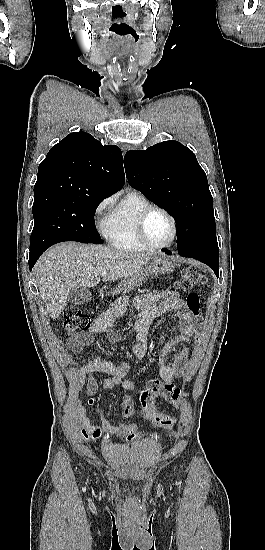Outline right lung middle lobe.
I'll use <instances>...</instances> for the list:
<instances>
[{
	"mask_svg": "<svg viewBox=\"0 0 265 550\" xmlns=\"http://www.w3.org/2000/svg\"><path fill=\"white\" fill-rule=\"evenodd\" d=\"M104 198H71L50 194L34 196L30 253L45 251L63 241L103 243L95 227L94 214Z\"/></svg>",
	"mask_w": 265,
	"mask_h": 550,
	"instance_id": "1",
	"label": "right lung middle lobe"
}]
</instances>
